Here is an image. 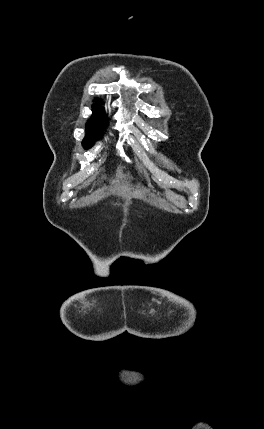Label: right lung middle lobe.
Returning <instances> with one entry per match:
<instances>
[{"label":"right lung middle lobe","instance_id":"dd1d6c3e","mask_svg":"<svg viewBox=\"0 0 264 429\" xmlns=\"http://www.w3.org/2000/svg\"><path fill=\"white\" fill-rule=\"evenodd\" d=\"M93 117L94 119L87 123V134L83 141L84 148H90L93 145V142L100 136L99 126L104 123L102 107H94Z\"/></svg>","mask_w":264,"mask_h":429}]
</instances>
